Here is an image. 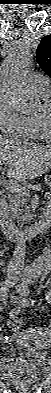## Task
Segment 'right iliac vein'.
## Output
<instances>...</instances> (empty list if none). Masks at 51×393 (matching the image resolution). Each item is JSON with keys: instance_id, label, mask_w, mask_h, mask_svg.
Segmentation results:
<instances>
[{"instance_id": "1", "label": "right iliac vein", "mask_w": 51, "mask_h": 393, "mask_svg": "<svg viewBox=\"0 0 51 393\" xmlns=\"http://www.w3.org/2000/svg\"><path fill=\"white\" fill-rule=\"evenodd\" d=\"M8 278H9V279H12V278H13V274H9V275H8Z\"/></svg>"}]
</instances>
